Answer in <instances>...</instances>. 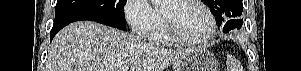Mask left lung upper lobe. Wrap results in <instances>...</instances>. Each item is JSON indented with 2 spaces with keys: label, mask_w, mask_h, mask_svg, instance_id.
<instances>
[{
  "label": "left lung upper lobe",
  "mask_w": 301,
  "mask_h": 71,
  "mask_svg": "<svg viewBox=\"0 0 301 71\" xmlns=\"http://www.w3.org/2000/svg\"><path fill=\"white\" fill-rule=\"evenodd\" d=\"M211 7L217 18L218 25H221L226 18H240L243 11L241 0H205Z\"/></svg>",
  "instance_id": "obj_1"
}]
</instances>
